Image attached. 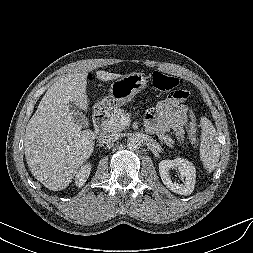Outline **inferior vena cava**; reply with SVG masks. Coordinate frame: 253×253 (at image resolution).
<instances>
[{
  "mask_svg": "<svg viewBox=\"0 0 253 253\" xmlns=\"http://www.w3.org/2000/svg\"><path fill=\"white\" fill-rule=\"evenodd\" d=\"M117 140V136L116 135H105L102 136L98 139L99 144H109V143H113Z\"/></svg>",
  "mask_w": 253,
  "mask_h": 253,
  "instance_id": "inferior-vena-cava-1",
  "label": "inferior vena cava"
}]
</instances>
